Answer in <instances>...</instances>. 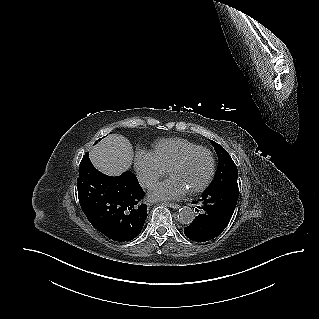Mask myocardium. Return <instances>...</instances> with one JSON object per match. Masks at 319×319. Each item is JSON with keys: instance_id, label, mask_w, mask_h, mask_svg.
<instances>
[{"instance_id": "myocardium-1", "label": "myocardium", "mask_w": 319, "mask_h": 319, "mask_svg": "<svg viewBox=\"0 0 319 319\" xmlns=\"http://www.w3.org/2000/svg\"><path fill=\"white\" fill-rule=\"evenodd\" d=\"M198 152H205L209 156L210 170L206 179L204 180L202 184L188 191L190 194H197L204 191L212 182L215 175V170H216V160H215L213 152L209 148L204 146H197V147L191 148L183 152L176 160H174L171 163V165L167 169L168 174H170L174 169L181 166L189 157H191L192 155Z\"/></svg>"}]
</instances>
